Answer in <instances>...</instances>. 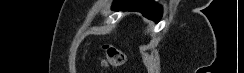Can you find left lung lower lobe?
Listing matches in <instances>:
<instances>
[{
    "mask_svg": "<svg viewBox=\"0 0 244 73\" xmlns=\"http://www.w3.org/2000/svg\"><path fill=\"white\" fill-rule=\"evenodd\" d=\"M115 4L117 5L115 6ZM119 8L139 11L145 17L155 21H159L162 16V7L152 0H117L114 2L112 9L118 10Z\"/></svg>",
    "mask_w": 244,
    "mask_h": 73,
    "instance_id": "0a47b994",
    "label": "left lung lower lobe"
}]
</instances>
